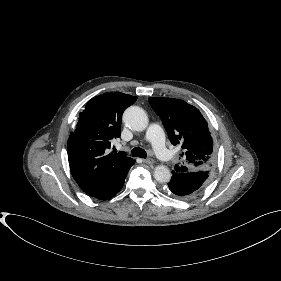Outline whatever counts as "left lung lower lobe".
Wrapping results in <instances>:
<instances>
[{
	"label": "left lung lower lobe",
	"instance_id": "1",
	"mask_svg": "<svg viewBox=\"0 0 281 281\" xmlns=\"http://www.w3.org/2000/svg\"><path fill=\"white\" fill-rule=\"evenodd\" d=\"M209 177V171L172 173L168 191L183 199L192 198L206 186Z\"/></svg>",
	"mask_w": 281,
	"mask_h": 281
}]
</instances>
